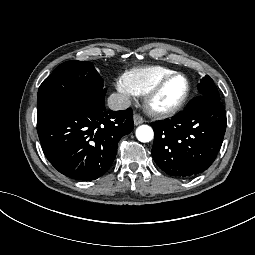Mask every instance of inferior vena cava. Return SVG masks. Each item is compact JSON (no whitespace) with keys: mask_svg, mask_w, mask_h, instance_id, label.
<instances>
[{"mask_svg":"<svg viewBox=\"0 0 255 255\" xmlns=\"http://www.w3.org/2000/svg\"><path fill=\"white\" fill-rule=\"evenodd\" d=\"M130 105V99L121 93H113L108 97V106L112 110H124Z\"/></svg>","mask_w":255,"mask_h":255,"instance_id":"obj_1","label":"inferior vena cava"}]
</instances>
